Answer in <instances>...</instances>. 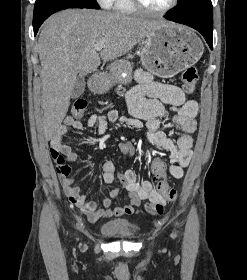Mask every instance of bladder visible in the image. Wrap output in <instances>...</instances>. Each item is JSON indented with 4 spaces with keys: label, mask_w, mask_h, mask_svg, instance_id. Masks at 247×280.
Wrapping results in <instances>:
<instances>
[{
    "label": "bladder",
    "mask_w": 247,
    "mask_h": 280,
    "mask_svg": "<svg viewBox=\"0 0 247 280\" xmlns=\"http://www.w3.org/2000/svg\"><path fill=\"white\" fill-rule=\"evenodd\" d=\"M138 225L125 219H114L103 223L100 231L103 235L113 238H131L138 232Z\"/></svg>",
    "instance_id": "31cf9c89"
}]
</instances>
